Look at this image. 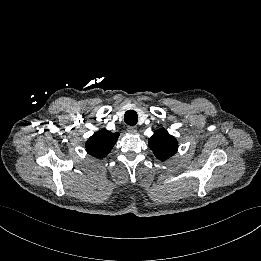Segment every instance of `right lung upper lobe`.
I'll use <instances>...</instances> for the list:
<instances>
[{"label": "right lung upper lobe", "mask_w": 261, "mask_h": 261, "mask_svg": "<svg viewBox=\"0 0 261 261\" xmlns=\"http://www.w3.org/2000/svg\"><path fill=\"white\" fill-rule=\"evenodd\" d=\"M118 137L119 133L101 129L87 140L86 151L94 157L103 158L111 151Z\"/></svg>", "instance_id": "right-lung-upper-lobe-1"}]
</instances>
